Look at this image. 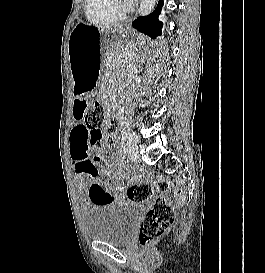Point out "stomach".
<instances>
[{
    "label": "stomach",
    "instance_id": "1",
    "mask_svg": "<svg viewBox=\"0 0 265 273\" xmlns=\"http://www.w3.org/2000/svg\"><path fill=\"white\" fill-rule=\"evenodd\" d=\"M155 40H140V35L127 27L116 32L103 31L86 23L77 24L68 42L74 95H93L98 78H109L115 64L133 60L131 51L108 49H151Z\"/></svg>",
    "mask_w": 265,
    "mask_h": 273
}]
</instances>
